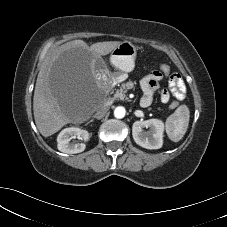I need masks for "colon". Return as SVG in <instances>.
Returning a JSON list of instances; mask_svg holds the SVG:
<instances>
[{
  "label": "colon",
  "mask_w": 227,
  "mask_h": 227,
  "mask_svg": "<svg viewBox=\"0 0 227 227\" xmlns=\"http://www.w3.org/2000/svg\"><path fill=\"white\" fill-rule=\"evenodd\" d=\"M160 71L165 74V75H169L170 72H171V69L168 65H161L160 66ZM171 108H176L178 106V103L177 102H172L170 104Z\"/></svg>",
  "instance_id": "1"
}]
</instances>
